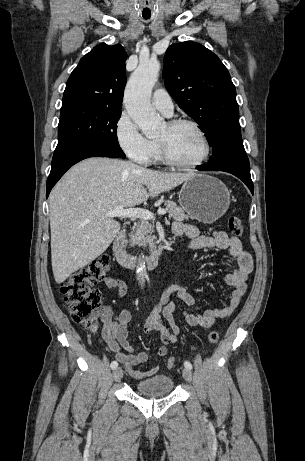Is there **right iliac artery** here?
I'll return each mask as SVG.
<instances>
[{"label":"right iliac artery","instance_id":"1","mask_svg":"<svg viewBox=\"0 0 305 461\" xmlns=\"http://www.w3.org/2000/svg\"><path fill=\"white\" fill-rule=\"evenodd\" d=\"M117 366H118V363H117V361H112V362H111V365H110V367H111L112 369H115V368H117Z\"/></svg>","mask_w":305,"mask_h":461}]
</instances>
